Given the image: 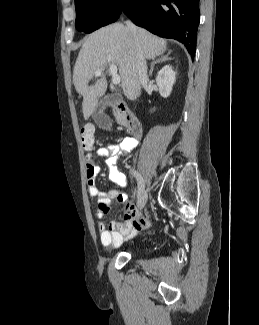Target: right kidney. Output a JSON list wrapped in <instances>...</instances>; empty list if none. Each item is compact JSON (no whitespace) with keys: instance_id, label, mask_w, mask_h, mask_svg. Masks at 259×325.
Returning <instances> with one entry per match:
<instances>
[{"instance_id":"1","label":"right kidney","mask_w":259,"mask_h":325,"mask_svg":"<svg viewBox=\"0 0 259 325\" xmlns=\"http://www.w3.org/2000/svg\"><path fill=\"white\" fill-rule=\"evenodd\" d=\"M175 80L176 72L172 69V66L166 65L162 67L156 77V83L162 97L167 98L171 94Z\"/></svg>"}]
</instances>
